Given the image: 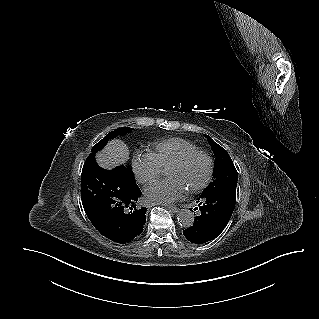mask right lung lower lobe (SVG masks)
<instances>
[{
	"mask_svg": "<svg viewBox=\"0 0 319 319\" xmlns=\"http://www.w3.org/2000/svg\"><path fill=\"white\" fill-rule=\"evenodd\" d=\"M142 193L130 167L101 168L91 153L81 176L83 208L92 225L116 243H128L143 231L146 208L138 206Z\"/></svg>",
	"mask_w": 319,
	"mask_h": 319,
	"instance_id": "1",
	"label": "right lung lower lobe"
}]
</instances>
